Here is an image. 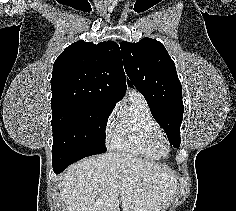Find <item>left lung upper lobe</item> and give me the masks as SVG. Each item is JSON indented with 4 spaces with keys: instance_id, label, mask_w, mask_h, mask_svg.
<instances>
[{
    "instance_id": "1",
    "label": "left lung upper lobe",
    "mask_w": 236,
    "mask_h": 211,
    "mask_svg": "<svg viewBox=\"0 0 236 211\" xmlns=\"http://www.w3.org/2000/svg\"><path fill=\"white\" fill-rule=\"evenodd\" d=\"M120 49L130 85L144 95L170 144L179 148L184 105L174 61L164 45L151 38L122 42Z\"/></svg>"
}]
</instances>
